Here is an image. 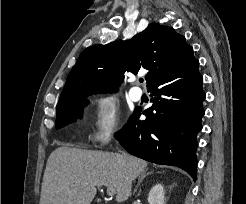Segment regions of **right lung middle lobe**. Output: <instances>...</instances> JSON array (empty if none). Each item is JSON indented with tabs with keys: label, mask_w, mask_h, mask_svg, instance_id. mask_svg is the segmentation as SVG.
<instances>
[{
	"label": "right lung middle lobe",
	"mask_w": 246,
	"mask_h": 204,
	"mask_svg": "<svg viewBox=\"0 0 246 204\" xmlns=\"http://www.w3.org/2000/svg\"><path fill=\"white\" fill-rule=\"evenodd\" d=\"M88 95L68 97L58 101L56 108V128H62L70 123L77 121L82 116V108L87 105Z\"/></svg>",
	"instance_id": "dd1d6c3e"
}]
</instances>
